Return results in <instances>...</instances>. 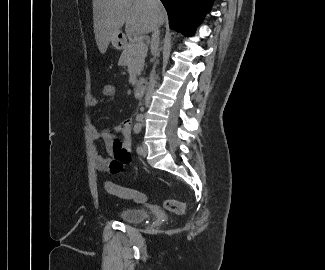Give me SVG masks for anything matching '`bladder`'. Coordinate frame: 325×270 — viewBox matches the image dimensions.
<instances>
[{"instance_id":"bladder-1","label":"bladder","mask_w":325,"mask_h":270,"mask_svg":"<svg viewBox=\"0 0 325 270\" xmlns=\"http://www.w3.org/2000/svg\"><path fill=\"white\" fill-rule=\"evenodd\" d=\"M120 220L128 224H137L145 221L149 217V213L141 208H126L119 213Z\"/></svg>"}]
</instances>
